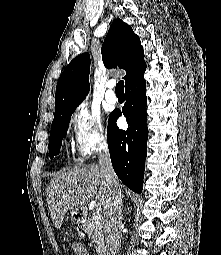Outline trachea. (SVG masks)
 <instances>
[{
    "mask_svg": "<svg viewBox=\"0 0 221 255\" xmlns=\"http://www.w3.org/2000/svg\"><path fill=\"white\" fill-rule=\"evenodd\" d=\"M116 93L118 94H124V82L123 81H119L116 84Z\"/></svg>",
    "mask_w": 221,
    "mask_h": 255,
    "instance_id": "obj_1",
    "label": "trachea"
}]
</instances>
